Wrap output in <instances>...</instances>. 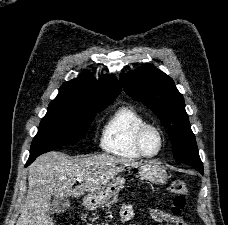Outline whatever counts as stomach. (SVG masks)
I'll list each match as a JSON object with an SVG mask.
<instances>
[{
	"instance_id": "stomach-1",
	"label": "stomach",
	"mask_w": 228,
	"mask_h": 225,
	"mask_svg": "<svg viewBox=\"0 0 228 225\" xmlns=\"http://www.w3.org/2000/svg\"><path fill=\"white\" fill-rule=\"evenodd\" d=\"M138 171L141 177L148 179V181H153V183H156V185L165 183V181L168 179L164 169H162V167H157V165H153V163H150V165H143V167H140ZM124 181L125 179H123L121 175H118V177H114L112 183H109V185H104L102 189H98V191H94V193L86 195V197L83 199L84 207H86V209L101 207V205H104V203L109 201L111 197H115V195H118V193L122 191L124 187Z\"/></svg>"
}]
</instances>
